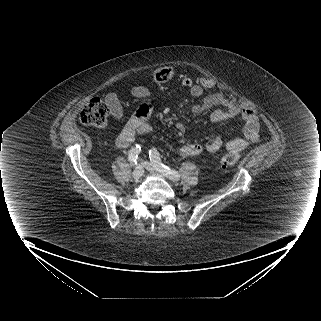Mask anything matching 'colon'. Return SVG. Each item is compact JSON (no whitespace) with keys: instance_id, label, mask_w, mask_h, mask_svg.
<instances>
[{"instance_id":"colon-1","label":"colon","mask_w":321,"mask_h":321,"mask_svg":"<svg viewBox=\"0 0 321 321\" xmlns=\"http://www.w3.org/2000/svg\"><path fill=\"white\" fill-rule=\"evenodd\" d=\"M173 77V70L170 67H160L156 69L154 73V78L158 82H167ZM195 82L199 86H204L205 88H212L214 86V81L208 79L202 75L196 77ZM110 110L105 101L99 97H94L90 99L79 113V120L84 125L101 127L107 122ZM240 154L237 152H229L224 154L220 158V163L222 166H232L235 165L240 160Z\"/></svg>"}]
</instances>
